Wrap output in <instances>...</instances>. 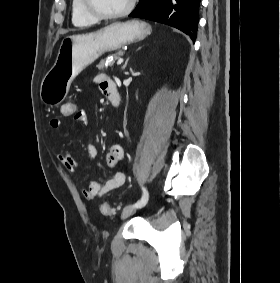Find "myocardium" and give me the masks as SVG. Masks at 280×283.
Returning <instances> with one entry per match:
<instances>
[{
  "instance_id": "f54148a6",
  "label": "myocardium",
  "mask_w": 280,
  "mask_h": 283,
  "mask_svg": "<svg viewBox=\"0 0 280 283\" xmlns=\"http://www.w3.org/2000/svg\"><path fill=\"white\" fill-rule=\"evenodd\" d=\"M83 8L87 14L95 18L96 20L107 21L116 20L128 15L134 8L136 0H129L128 5L120 12L114 14H105L97 10L93 5L91 0H82Z\"/></svg>"
}]
</instances>
